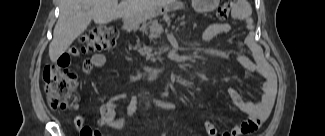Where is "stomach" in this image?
<instances>
[{
    "mask_svg": "<svg viewBox=\"0 0 325 136\" xmlns=\"http://www.w3.org/2000/svg\"><path fill=\"white\" fill-rule=\"evenodd\" d=\"M220 0H194L193 7L197 12H207L213 10ZM180 6L178 1H169L168 5H163V8L153 9L151 11L142 13L140 15L134 16L128 19V24L130 27H136L138 24L151 19L153 17L160 15H165L168 12H179Z\"/></svg>",
    "mask_w": 325,
    "mask_h": 136,
    "instance_id": "0dacf381",
    "label": "stomach"
}]
</instances>
